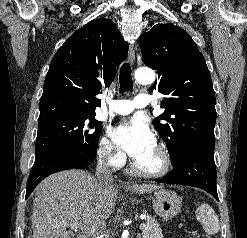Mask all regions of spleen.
Masks as SVG:
<instances>
[{"label": "spleen", "instance_id": "obj_1", "mask_svg": "<svg viewBox=\"0 0 247 238\" xmlns=\"http://www.w3.org/2000/svg\"><path fill=\"white\" fill-rule=\"evenodd\" d=\"M196 218L202 223L207 235H215L220 229L218 216L208 204L200 205L196 210Z\"/></svg>", "mask_w": 247, "mask_h": 238}]
</instances>
